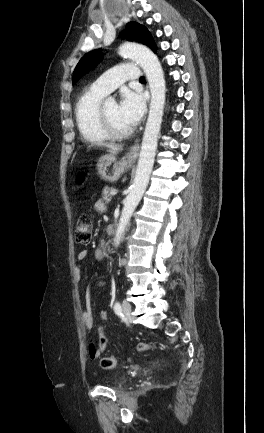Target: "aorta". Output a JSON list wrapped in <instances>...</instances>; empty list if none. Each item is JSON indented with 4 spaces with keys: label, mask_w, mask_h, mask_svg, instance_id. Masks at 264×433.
Returning a JSON list of instances; mask_svg holds the SVG:
<instances>
[{
    "label": "aorta",
    "mask_w": 264,
    "mask_h": 433,
    "mask_svg": "<svg viewBox=\"0 0 264 433\" xmlns=\"http://www.w3.org/2000/svg\"><path fill=\"white\" fill-rule=\"evenodd\" d=\"M119 54L125 58L135 60L144 70L150 87L151 101L136 175L130 192L124 200V207L114 238L115 247L119 246L122 236L129 225L131 216L149 183L157 150L166 91L161 64L151 50L140 44L125 43L120 46Z\"/></svg>",
    "instance_id": "1"
}]
</instances>
